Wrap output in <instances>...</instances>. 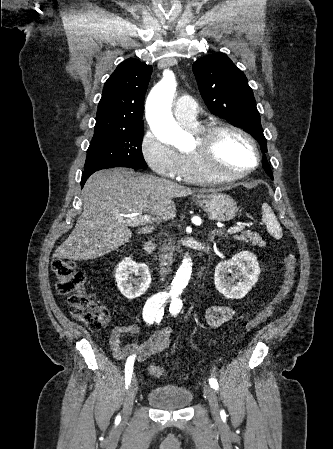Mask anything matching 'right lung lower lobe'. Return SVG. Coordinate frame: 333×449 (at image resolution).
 Masks as SVG:
<instances>
[{
	"instance_id": "1",
	"label": "right lung lower lobe",
	"mask_w": 333,
	"mask_h": 449,
	"mask_svg": "<svg viewBox=\"0 0 333 449\" xmlns=\"http://www.w3.org/2000/svg\"><path fill=\"white\" fill-rule=\"evenodd\" d=\"M94 172L93 171H90V172H83L82 173V179H81V187H83V185H84V183L86 182V180L89 178V176L91 175V174H93Z\"/></svg>"
}]
</instances>
